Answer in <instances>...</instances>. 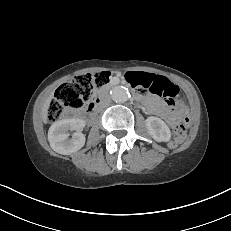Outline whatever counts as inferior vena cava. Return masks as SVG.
<instances>
[{
	"label": "inferior vena cava",
	"mask_w": 231,
	"mask_h": 231,
	"mask_svg": "<svg viewBox=\"0 0 231 231\" xmlns=\"http://www.w3.org/2000/svg\"><path fill=\"white\" fill-rule=\"evenodd\" d=\"M110 105V98L109 96H106L105 98H103L101 104H100V108L103 109V108H106Z\"/></svg>",
	"instance_id": "602c4592"
}]
</instances>
